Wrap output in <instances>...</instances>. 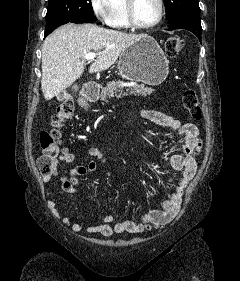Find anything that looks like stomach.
<instances>
[{"instance_id": "1", "label": "stomach", "mask_w": 240, "mask_h": 281, "mask_svg": "<svg viewBox=\"0 0 240 281\" xmlns=\"http://www.w3.org/2000/svg\"><path fill=\"white\" fill-rule=\"evenodd\" d=\"M168 63L157 41L146 35L121 53L119 75L131 81L158 85L168 76Z\"/></svg>"}]
</instances>
